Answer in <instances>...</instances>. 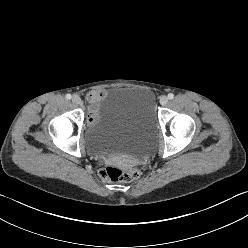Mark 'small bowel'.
<instances>
[{
    "instance_id": "c3829d8e",
    "label": "small bowel",
    "mask_w": 248,
    "mask_h": 248,
    "mask_svg": "<svg viewBox=\"0 0 248 248\" xmlns=\"http://www.w3.org/2000/svg\"><path fill=\"white\" fill-rule=\"evenodd\" d=\"M105 96V91L95 90L88 94V99L90 102L91 111L95 112L97 103Z\"/></svg>"
}]
</instances>
